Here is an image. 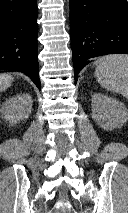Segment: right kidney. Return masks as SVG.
<instances>
[{"label": "right kidney", "mask_w": 128, "mask_h": 213, "mask_svg": "<svg viewBox=\"0 0 128 213\" xmlns=\"http://www.w3.org/2000/svg\"><path fill=\"white\" fill-rule=\"evenodd\" d=\"M32 98L28 93H21L7 100L0 109L4 119L11 125L29 117L32 110Z\"/></svg>", "instance_id": "right-kidney-1"}]
</instances>
